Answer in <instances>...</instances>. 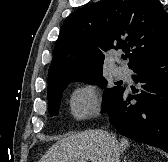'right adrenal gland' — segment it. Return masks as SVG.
I'll return each mask as SVG.
<instances>
[{
    "mask_svg": "<svg viewBox=\"0 0 168 162\" xmlns=\"http://www.w3.org/2000/svg\"><path fill=\"white\" fill-rule=\"evenodd\" d=\"M123 162H127V157L126 156L123 158Z\"/></svg>",
    "mask_w": 168,
    "mask_h": 162,
    "instance_id": "obj_1",
    "label": "right adrenal gland"
}]
</instances>
